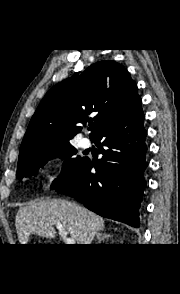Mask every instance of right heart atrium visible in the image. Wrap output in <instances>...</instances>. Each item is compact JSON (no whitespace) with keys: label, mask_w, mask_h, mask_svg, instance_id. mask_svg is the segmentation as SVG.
I'll list each match as a JSON object with an SVG mask.
<instances>
[{"label":"right heart atrium","mask_w":180,"mask_h":294,"mask_svg":"<svg viewBox=\"0 0 180 294\" xmlns=\"http://www.w3.org/2000/svg\"><path fill=\"white\" fill-rule=\"evenodd\" d=\"M59 164L54 161L50 164L48 170L45 173V180L47 184H52L57 179Z\"/></svg>","instance_id":"1"}]
</instances>
